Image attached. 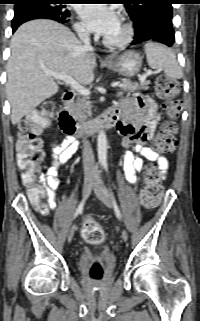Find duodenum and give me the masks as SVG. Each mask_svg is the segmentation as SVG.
I'll use <instances>...</instances> for the list:
<instances>
[{
	"label": "duodenum",
	"mask_w": 200,
	"mask_h": 321,
	"mask_svg": "<svg viewBox=\"0 0 200 321\" xmlns=\"http://www.w3.org/2000/svg\"><path fill=\"white\" fill-rule=\"evenodd\" d=\"M74 101V94L66 91L62 95V109L58 114V122L62 131L70 136H84L94 134L103 128L116 125L119 114L112 109L101 118L86 122L77 123L70 113V107Z\"/></svg>",
	"instance_id": "410a0bca"
}]
</instances>
